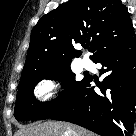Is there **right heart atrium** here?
I'll return each mask as SVG.
<instances>
[{
	"mask_svg": "<svg viewBox=\"0 0 136 136\" xmlns=\"http://www.w3.org/2000/svg\"><path fill=\"white\" fill-rule=\"evenodd\" d=\"M59 87V82L44 80L36 86L34 93L37 98L47 100L51 96L52 92L58 90Z\"/></svg>",
	"mask_w": 136,
	"mask_h": 136,
	"instance_id": "1",
	"label": "right heart atrium"
}]
</instances>
